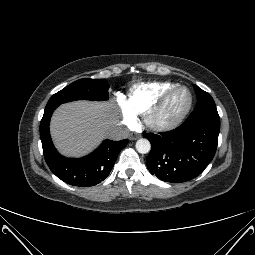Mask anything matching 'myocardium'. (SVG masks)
<instances>
[{
	"label": "myocardium",
	"mask_w": 255,
	"mask_h": 255,
	"mask_svg": "<svg viewBox=\"0 0 255 255\" xmlns=\"http://www.w3.org/2000/svg\"><path fill=\"white\" fill-rule=\"evenodd\" d=\"M184 90L188 93V103L186 107L176 116L168 119V120H161L159 115L169 99L178 91ZM193 104V95L190 89L186 86L177 85L167 92H165L158 101L146 112L145 115V123L146 125L154 130V131H167L170 129L175 128L178 126L188 115L189 111L191 110Z\"/></svg>",
	"instance_id": "myocardium-1"
}]
</instances>
